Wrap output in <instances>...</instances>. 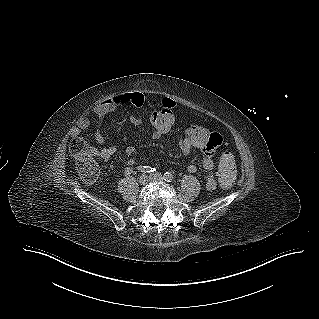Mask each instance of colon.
Returning <instances> with one entry per match:
<instances>
[{
    "label": "colon",
    "mask_w": 319,
    "mask_h": 319,
    "mask_svg": "<svg viewBox=\"0 0 319 319\" xmlns=\"http://www.w3.org/2000/svg\"><path fill=\"white\" fill-rule=\"evenodd\" d=\"M173 113L150 112L147 117V128L153 134H165L175 126ZM184 143L194 151H201L204 143L211 139L210 131L201 122L188 123L182 133ZM222 141V137L220 138ZM71 152L77 160V170L80 178L87 184L94 183L99 175V165L96 161V149L81 138H76L71 144ZM219 172L222 178V186L233 183L236 175V164L230 151L222 153L219 163Z\"/></svg>",
    "instance_id": "obj_1"
}]
</instances>
